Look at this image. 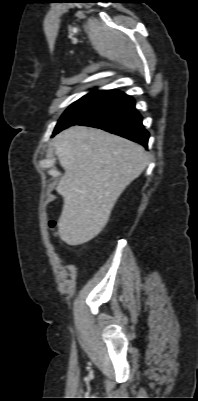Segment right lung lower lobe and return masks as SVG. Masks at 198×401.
Here are the masks:
<instances>
[{
  "label": "right lung lower lobe",
  "instance_id": "1",
  "mask_svg": "<svg viewBox=\"0 0 198 401\" xmlns=\"http://www.w3.org/2000/svg\"><path fill=\"white\" fill-rule=\"evenodd\" d=\"M76 125L100 128L147 147L149 133L142 125L135 101L117 90L110 91L104 102Z\"/></svg>",
  "mask_w": 198,
  "mask_h": 401
}]
</instances>
